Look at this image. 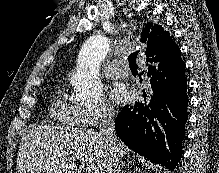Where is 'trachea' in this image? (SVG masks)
<instances>
[{
	"label": "trachea",
	"instance_id": "obj_1",
	"mask_svg": "<svg viewBox=\"0 0 219 173\" xmlns=\"http://www.w3.org/2000/svg\"><path fill=\"white\" fill-rule=\"evenodd\" d=\"M137 55H138V52H134V53L130 54L128 57L129 66L131 69L137 68V63H136Z\"/></svg>",
	"mask_w": 219,
	"mask_h": 173
}]
</instances>
